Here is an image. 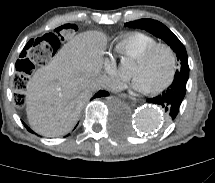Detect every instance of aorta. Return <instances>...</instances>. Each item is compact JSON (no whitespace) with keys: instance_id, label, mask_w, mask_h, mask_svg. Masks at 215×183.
Returning a JSON list of instances; mask_svg holds the SVG:
<instances>
[{"instance_id":"1","label":"aorta","mask_w":215,"mask_h":183,"mask_svg":"<svg viewBox=\"0 0 215 183\" xmlns=\"http://www.w3.org/2000/svg\"><path fill=\"white\" fill-rule=\"evenodd\" d=\"M164 120L162 110L154 106H143L135 114L134 121L137 129L144 132H154L160 128Z\"/></svg>"}]
</instances>
